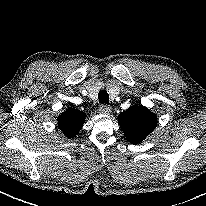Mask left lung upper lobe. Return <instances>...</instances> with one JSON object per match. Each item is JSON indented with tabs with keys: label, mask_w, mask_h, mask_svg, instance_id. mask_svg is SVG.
Segmentation results:
<instances>
[{
	"label": "left lung upper lobe",
	"mask_w": 206,
	"mask_h": 206,
	"mask_svg": "<svg viewBox=\"0 0 206 206\" xmlns=\"http://www.w3.org/2000/svg\"><path fill=\"white\" fill-rule=\"evenodd\" d=\"M119 125L132 144L141 143L154 130L157 117L142 105H134L118 116Z\"/></svg>",
	"instance_id": "1"
}]
</instances>
